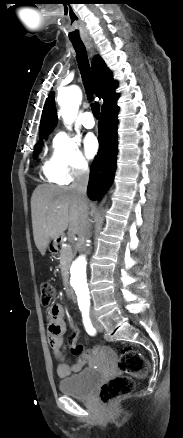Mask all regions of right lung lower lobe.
I'll list each match as a JSON object with an SVG mask.
<instances>
[{"mask_svg":"<svg viewBox=\"0 0 183 438\" xmlns=\"http://www.w3.org/2000/svg\"><path fill=\"white\" fill-rule=\"evenodd\" d=\"M118 109L114 102L101 110L99 151L91 166L88 183V195L92 200L100 198L114 178L118 153Z\"/></svg>","mask_w":183,"mask_h":438,"instance_id":"obj_1","label":"right lung lower lobe"}]
</instances>
